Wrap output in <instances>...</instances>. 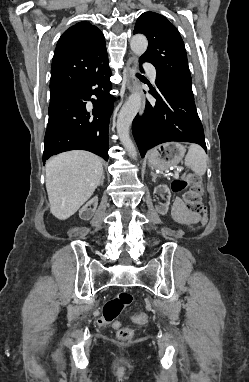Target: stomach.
<instances>
[{"mask_svg": "<svg viewBox=\"0 0 249 382\" xmlns=\"http://www.w3.org/2000/svg\"><path fill=\"white\" fill-rule=\"evenodd\" d=\"M185 147L178 142H169L152 149L148 154V164L152 169L166 171L180 163L185 155Z\"/></svg>", "mask_w": 249, "mask_h": 382, "instance_id": "1", "label": "stomach"}]
</instances>
